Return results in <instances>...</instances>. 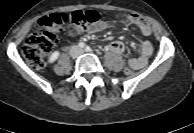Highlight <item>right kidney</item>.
Segmentation results:
<instances>
[{"mask_svg":"<svg viewBox=\"0 0 194 133\" xmlns=\"http://www.w3.org/2000/svg\"><path fill=\"white\" fill-rule=\"evenodd\" d=\"M58 56H59V52H58V51H54V52L50 55V57H49V59H48V63L51 64V63L55 62V61L57 60Z\"/></svg>","mask_w":194,"mask_h":133,"instance_id":"obj_1","label":"right kidney"}]
</instances>
